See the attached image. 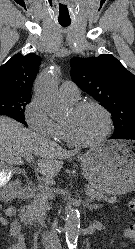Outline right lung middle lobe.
<instances>
[{"label":"right lung middle lobe","mask_w":135,"mask_h":249,"mask_svg":"<svg viewBox=\"0 0 135 249\" xmlns=\"http://www.w3.org/2000/svg\"><path fill=\"white\" fill-rule=\"evenodd\" d=\"M31 95L16 93H0V115L10 116L27 126L24 120L25 106L30 102Z\"/></svg>","instance_id":"dd1d6c3e"}]
</instances>
